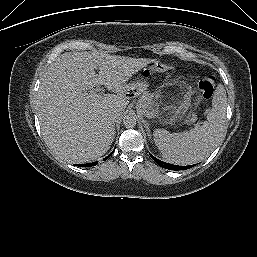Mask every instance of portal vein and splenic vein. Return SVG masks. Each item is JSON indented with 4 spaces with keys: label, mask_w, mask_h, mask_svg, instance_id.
<instances>
[{
    "label": "portal vein and splenic vein",
    "mask_w": 257,
    "mask_h": 257,
    "mask_svg": "<svg viewBox=\"0 0 257 257\" xmlns=\"http://www.w3.org/2000/svg\"><path fill=\"white\" fill-rule=\"evenodd\" d=\"M83 96H84V99L93 100V101L101 98V95L95 91H91L90 93H84ZM143 113L148 119H151L153 116L152 113L149 112L148 110H144Z\"/></svg>",
    "instance_id": "18ae733b"
}]
</instances>
